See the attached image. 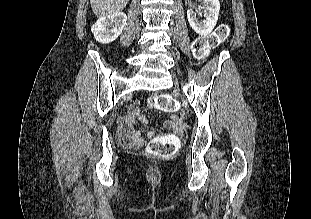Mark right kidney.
Listing matches in <instances>:
<instances>
[{"label": "right kidney", "instance_id": "right-kidney-1", "mask_svg": "<svg viewBox=\"0 0 311 219\" xmlns=\"http://www.w3.org/2000/svg\"><path fill=\"white\" fill-rule=\"evenodd\" d=\"M126 20V14L121 12L100 18L91 28L94 38L100 43L113 42L122 33Z\"/></svg>", "mask_w": 311, "mask_h": 219}]
</instances>
